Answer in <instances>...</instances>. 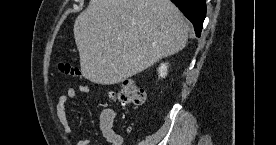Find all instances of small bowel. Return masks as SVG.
I'll list each match as a JSON object with an SVG mask.
<instances>
[{"mask_svg":"<svg viewBox=\"0 0 276 145\" xmlns=\"http://www.w3.org/2000/svg\"><path fill=\"white\" fill-rule=\"evenodd\" d=\"M87 85H80L77 88H67L62 93L56 103L57 118L66 134H70L76 128L74 119L70 118L67 114L66 104L70 99H74L78 94H87L89 92ZM100 130L103 137L110 145H123V138L114 129V113L105 110L100 114L99 119ZM77 145H91L90 139H82Z\"/></svg>","mask_w":276,"mask_h":145,"instance_id":"small-bowel-1","label":"small bowel"}]
</instances>
